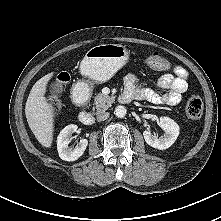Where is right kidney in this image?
<instances>
[{"label": "right kidney", "mask_w": 221, "mask_h": 221, "mask_svg": "<svg viewBox=\"0 0 221 221\" xmlns=\"http://www.w3.org/2000/svg\"><path fill=\"white\" fill-rule=\"evenodd\" d=\"M78 129L77 125L71 124L61 130L57 137V149L59 157L65 161H75L80 158L88 145L87 139H81L79 144L73 149L68 145L71 142V136Z\"/></svg>", "instance_id": "obj_1"}]
</instances>
